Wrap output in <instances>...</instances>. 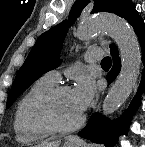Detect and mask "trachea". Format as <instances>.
Listing matches in <instances>:
<instances>
[{
    "label": "trachea",
    "mask_w": 145,
    "mask_h": 147,
    "mask_svg": "<svg viewBox=\"0 0 145 147\" xmlns=\"http://www.w3.org/2000/svg\"><path fill=\"white\" fill-rule=\"evenodd\" d=\"M101 65H104V66L111 65V58H110V57H105V58L101 61Z\"/></svg>",
    "instance_id": "trachea-1"
}]
</instances>
